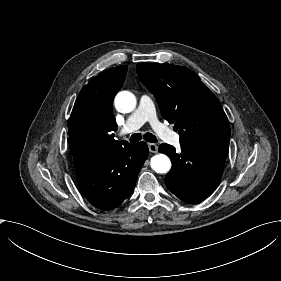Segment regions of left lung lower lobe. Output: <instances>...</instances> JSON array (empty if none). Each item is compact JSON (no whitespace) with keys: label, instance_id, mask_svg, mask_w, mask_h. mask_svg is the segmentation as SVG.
Wrapping results in <instances>:
<instances>
[{"label":"left lung lower lobe","instance_id":"obj_1","mask_svg":"<svg viewBox=\"0 0 281 281\" xmlns=\"http://www.w3.org/2000/svg\"><path fill=\"white\" fill-rule=\"evenodd\" d=\"M159 152L172 161L165 177L167 188L186 203H198L210 196L218 186L228 149L187 148L181 152L168 144H161Z\"/></svg>","mask_w":281,"mask_h":281}]
</instances>
